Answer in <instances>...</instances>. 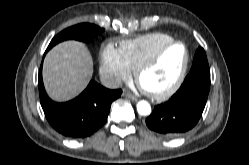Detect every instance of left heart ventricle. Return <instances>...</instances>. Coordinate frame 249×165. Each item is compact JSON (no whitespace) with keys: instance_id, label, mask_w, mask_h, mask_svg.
Here are the masks:
<instances>
[{"instance_id":"obj_1","label":"left heart ventricle","mask_w":249,"mask_h":165,"mask_svg":"<svg viewBox=\"0 0 249 165\" xmlns=\"http://www.w3.org/2000/svg\"><path fill=\"white\" fill-rule=\"evenodd\" d=\"M185 50L181 45L169 48L161 59L142 73L139 84L147 90L162 91L173 84L184 62Z\"/></svg>"}]
</instances>
